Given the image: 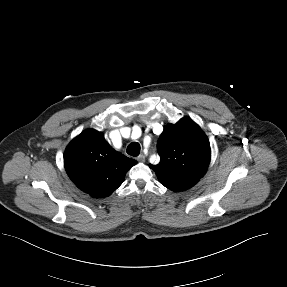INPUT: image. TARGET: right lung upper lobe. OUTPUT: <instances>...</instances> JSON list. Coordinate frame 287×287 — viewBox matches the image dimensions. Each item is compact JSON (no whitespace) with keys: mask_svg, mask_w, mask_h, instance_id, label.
Listing matches in <instances>:
<instances>
[{"mask_svg":"<svg viewBox=\"0 0 287 287\" xmlns=\"http://www.w3.org/2000/svg\"><path fill=\"white\" fill-rule=\"evenodd\" d=\"M136 164L115 151L102 132L87 129L74 138L64 153L69 178L92 197L109 196L124 181L126 172Z\"/></svg>","mask_w":287,"mask_h":287,"instance_id":"obj_1","label":"right lung upper lobe"}]
</instances>
